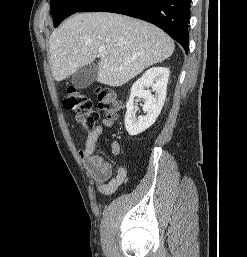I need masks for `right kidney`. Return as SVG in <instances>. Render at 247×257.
<instances>
[{
  "instance_id": "1",
  "label": "right kidney",
  "mask_w": 247,
  "mask_h": 257,
  "mask_svg": "<svg viewBox=\"0 0 247 257\" xmlns=\"http://www.w3.org/2000/svg\"><path fill=\"white\" fill-rule=\"evenodd\" d=\"M169 74L168 68L152 67L133 84L125 115V128L129 135H138L155 123L166 99ZM145 87H152L155 96L149 90H144ZM135 97L145 100L143 110L147 112L145 116H139L137 119L134 115Z\"/></svg>"
}]
</instances>
